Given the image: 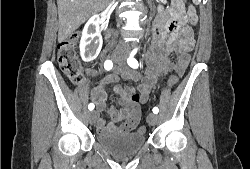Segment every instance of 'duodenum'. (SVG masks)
<instances>
[{"label": "duodenum", "instance_id": "1", "mask_svg": "<svg viewBox=\"0 0 250 169\" xmlns=\"http://www.w3.org/2000/svg\"><path fill=\"white\" fill-rule=\"evenodd\" d=\"M112 39V31L110 28H107L106 31H105V40L107 42H110Z\"/></svg>", "mask_w": 250, "mask_h": 169}]
</instances>
